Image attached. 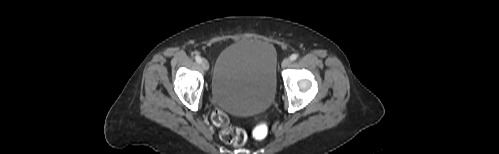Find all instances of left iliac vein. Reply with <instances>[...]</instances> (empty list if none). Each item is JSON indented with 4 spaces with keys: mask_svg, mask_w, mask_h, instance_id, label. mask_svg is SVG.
<instances>
[{
    "mask_svg": "<svg viewBox=\"0 0 499 154\" xmlns=\"http://www.w3.org/2000/svg\"><path fill=\"white\" fill-rule=\"evenodd\" d=\"M291 64V60L290 58H285L283 61H282V68H287L289 65Z\"/></svg>",
    "mask_w": 499,
    "mask_h": 154,
    "instance_id": "1",
    "label": "left iliac vein"
}]
</instances>
